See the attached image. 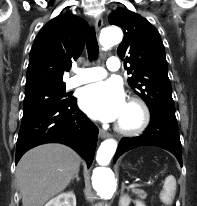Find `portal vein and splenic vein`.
I'll return each mask as SVG.
<instances>
[{
  "label": "portal vein and splenic vein",
  "mask_w": 197,
  "mask_h": 206,
  "mask_svg": "<svg viewBox=\"0 0 197 206\" xmlns=\"http://www.w3.org/2000/svg\"><path fill=\"white\" fill-rule=\"evenodd\" d=\"M147 184H148V185H152L151 182H147ZM136 186H140V185H139V184H136V183H133V184H130V185H129V188H134V187H136Z\"/></svg>",
  "instance_id": "obj_1"
}]
</instances>
